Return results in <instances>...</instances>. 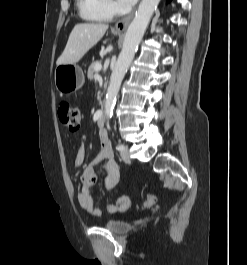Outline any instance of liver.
I'll list each match as a JSON object with an SVG mask.
<instances>
[{
    "instance_id": "obj_1",
    "label": "liver",
    "mask_w": 247,
    "mask_h": 265,
    "mask_svg": "<svg viewBox=\"0 0 247 265\" xmlns=\"http://www.w3.org/2000/svg\"><path fill=\"white\" fill-rule=\"evenodd\" d=\"M103 23H81L74 26L66 47L56 64H76L103 37L108 29Z\"/></svg>"
}]
</instances>
